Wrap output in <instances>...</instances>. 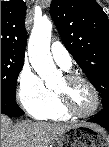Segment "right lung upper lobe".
Wrapping results in <instances>:
<instances>
[{"mask_svg": "<svg viewBox=\"0 0 109 147\" xmlns=\"http://www.w3.org/2000/svg\"><path fill=\"white\" fill-rule=\"evenodd\" d=\"M23 0L1 2V50L24 57L27 33Z\"/></svg>", "mask_w": 109, "mask_h": 147, "instance_id": "cb5924a9", "label": "right lung upper lobe"}]
</instances>
